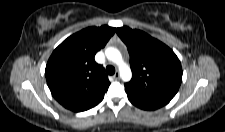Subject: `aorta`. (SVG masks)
Returning <instances> with one entry per match:
<instances>
[{"instance_id": "obj_1", "label": "aorta", "mask_w": 225, "mask_h": 132, "mask_svg": "<svg viewBox=\"0 0 225 132\" xmlns=\"http://www.w3.org/2000/svg\"><path fill=\"white\" fill-rule=\"evenodd\" d=\"M105 55L109 61L118 65L121 79L125 82L130 81L132 72L130 67L124 62L120 51L115 47H107L105 49Z\"/></svg>"}]
</instances>
